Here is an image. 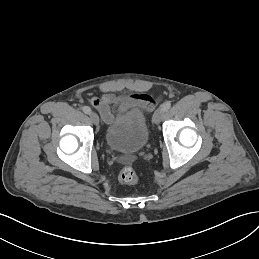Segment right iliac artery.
<instances>
[{
	"label": "right iliac artery",
	"instance_id": "right-iliac-artery-1",
	"mask_svg": "<svg viewBox=\"0 0 259 259\" xmlns=\"http://www.w3.org/2000/svg\"><path fill=\"white\" fill-rule=\"evenodd\" d=\"M82 110L84 113L89 114L91 112V109L88 106H83Z\"/></svg>",
	"mask_w": 259,
	"mask_h": 259
}]
</instances>
